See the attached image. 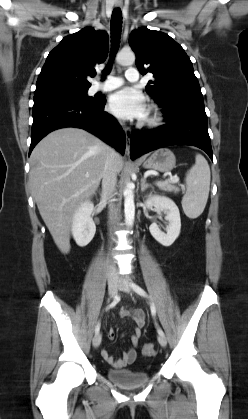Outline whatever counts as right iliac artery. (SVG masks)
Wrapping results in <instances>:
<instances>
[{"instance_id": "obj_1", "label": "right iliac artery", "mask_w": 248, "mask_h": 419, "mask_svg": "<svg viewBox=\"0 0 248 419\" xmlns=\"http://www.w3.org/2000/svg\"><path fill=\"white\" fill-rule=\"evenodd\" d=\"M119 300H120V297L117 295L115 299L113 300V302L109 306H107L106 310L113 308L119 302ZM99 331H100V322H98L95 327V334L99 333Z\"/></svg>"}]
</instances>
